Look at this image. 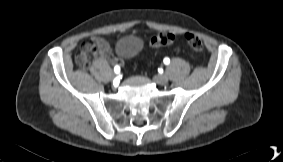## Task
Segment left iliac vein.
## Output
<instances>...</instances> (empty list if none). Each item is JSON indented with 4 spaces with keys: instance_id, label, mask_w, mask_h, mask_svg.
Here are the masks:
<instances>
[{
    "instance_id": "left-iliac-vein-1",
    "label": "left iliac vein",
    "mask_w": 283,
    "mask_h": 162,
    "mask_svg": "<svg viewBox=\"0 0 283 162\" xmlns=\"http://www.w3.org/2000/svg\"><path fill=\"white\" fill-rule=\"evenodd\" d=\"M154 81L157 83V84H160V85H165L168 83V77L164 74H161V75H155L153 77Z\"/></svg>"
}]
</instances>
